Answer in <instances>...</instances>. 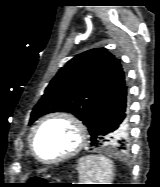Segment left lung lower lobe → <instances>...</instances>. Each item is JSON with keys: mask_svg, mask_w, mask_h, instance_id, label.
<instances>
[{"mask_svg": "<svg viewBox=\"0 0 160 187\" xmlns=\"http://www.w3.org/2000/svg\"><path fill=\"white\" fill-rule=\"evenodd\" d=\"M127 87L124 86L100 110L93 128L89 131L91 145L111 150L123 149L122 137L127 134ZM124 126L125 132L113 139L115 132Z\"/></svg>", "mask_w": 160, "mask_h": 187, "instance_id": "1", "label": "left lung lower lobe"}]
</instances>
